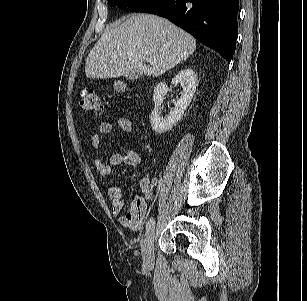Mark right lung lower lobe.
Wrapping results in <instances>:
<instances>
[{"label":"right lung lower lobe","mask_w":307,"mask_h":301,"mask_svg":"<svg viewBox=\"0 0 307 301\" xmlns=\"http://www.w3.org/2000/svg\"><path fill=\"white\" fill-rule=\"evenodd\" d=\"M239 0H156L140 12L167 18L228 62L236 48Z\"/></svg>","instance_id":"right-lung-lower-lobe-1"}]
</instances>
